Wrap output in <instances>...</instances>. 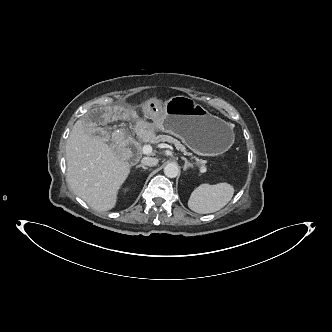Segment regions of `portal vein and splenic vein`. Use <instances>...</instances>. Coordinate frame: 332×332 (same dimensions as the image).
<instances>
[{"label":"portal vein and splenic vein","instance_id":"portal-vein-and-splenic-vein-1","mask_svg":"<svg viewBox=\"0 0 332 332\" xmlns=\"http://www.w3.org/2000/svg\"><path fill=\"white\" fill-rule=\"evenodd\" d=\"M158 147L159 148H170V149H172V147L167 145V144H159ZM152 151H153V149H152L151 145H144L143 148H142V152L146 155L152 153Z\"/></svg>","mask_w":332,"mask_h":332}]
</instances>
